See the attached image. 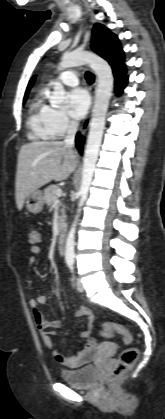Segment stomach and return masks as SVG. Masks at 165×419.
Segmentation results:
<instances>
[{
  "label": "stomach",
  "instance_id": "obj_1",
  "mask_svg": "<svg viewBox=\"0 0 165 419\" xmlns=\"http://www.w3.org/2000/svg\"><path fill=\"white\" fill-rule=\"evenodd\" d=\"M25 205L30 213L37 214L41 212L44 206V197L42 192L36 190L28 195L25 199Z\"/></svg>",
  "mask_w": 165,
  "mask_h": 419
}]
</instances>
